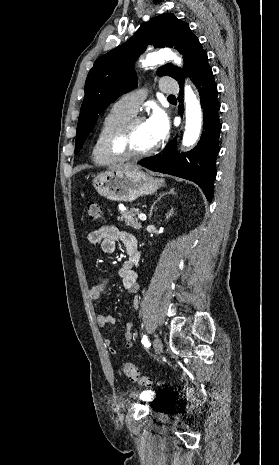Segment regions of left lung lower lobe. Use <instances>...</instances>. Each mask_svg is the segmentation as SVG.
Here are the masks:
<instances>
[{
  "label": "left lung lower lobe",
  "instance_id": "0a47b994",
  "mask_svg": "<svg viewBox=\"0 0 279 465\" xmlns=\"http://www.w3.org/2000/svg\"><path fill=\"white\" fill-rule=\"evenodd\" d=\"M189 77L192 78L201 96L204 123L200 141L190 152L180 154L176 150V138H174L166 145L162 154L145 158L139 164L156 172L195 182L202 188L207 200L211 201L213 182L216 177L215 161L220 150L218 138L221 124L218 113L220 104L217 100V85L208 64L206 52L199 58ZM179 86L180 95H182L184 80L179 82ZM179 113L181 114V109Z\"/></svg>",
  "mask_w": 279,
  "mask_h": 465
}]
</instances>
